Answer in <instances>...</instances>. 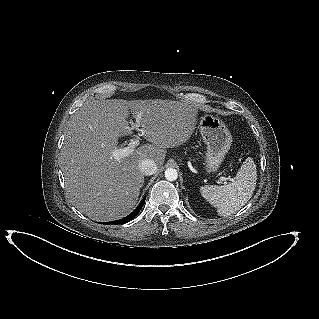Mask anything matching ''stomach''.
<instances>
[{
    "label": "stomach",
    "mask_w": 319,
    "mask_h": 319,
    "mask_svg": "<svg viewBox=\"0 0 319 319\" xmlns=\"http://www.w3.org/2000/svg\"><path fill=\"white\" fill-rule=\"evenodd\" d=\"M199 129L207 146V172H216L230 149L232 135L224 122L211 114H205L200 117Z\"/></svg>",
    "instance_id": "obj_1"
}]
</instances>
